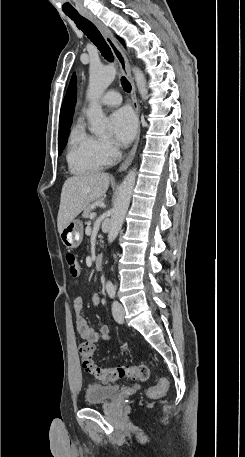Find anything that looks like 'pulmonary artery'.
<instances>
[{"label": "pulmonary artery", "mask_w": 245, "mask_h": 457, "mask_svg": "<svg viewBox=\"0 0 245 457\" xmlns=\"http://www.w3.org/2000/svg\"><path fill=\"white\" fill-rule=\"evenodd\" d=\"M99 103L102 105H118L121 103V97L115 91H110L106 95L99 98Z\"/></svg>", "instance_id": "pulmonary-artery-1"}]
</instances>
